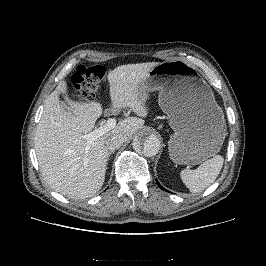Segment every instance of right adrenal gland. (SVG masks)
Here are the masks:
<instances>
[{
  "mask_svg": "<svg viewBox=\"0 0 266 266\" xmlns=\"http://www.w3.org/2000/svg\"><path fill=\"white\" fill-rule=\"evenodd\" d=\"M112 153H114V151H111V152L108 153V159H109V156H110Z\"/></svg>",
  "mask_w": 266,
  "mask_h": 266,
  "instance_id": "obj_1",
  "label": "right adrenal gland"
}]
</instances>
